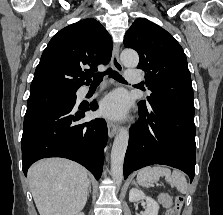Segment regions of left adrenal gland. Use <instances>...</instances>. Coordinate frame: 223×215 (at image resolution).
<instances>
[{
	"mask_svg": "<svg viewBox=\"0 0 223 215\" xmlns=\"http://www.w3.org/2000/svg\"><path fill=\"white\" fill-rule=\"evenodd\" d=\"M132 183H134V185H137V183H136L135 179H133Z\"/></svg>",
	"mask_w": 223,
	"mask_h": 215,
	"instance_id": "left-adrenal-gland-1",
	"label": "left adrenal gland"
}]
</instances>
